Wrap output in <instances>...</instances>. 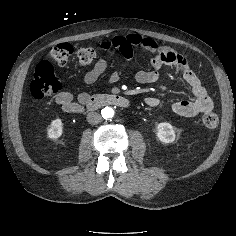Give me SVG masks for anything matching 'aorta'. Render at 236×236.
<instances>
[{"label":"aorta","instance_id":"762f6f07","mask_svg":"<svg viewBox=\"0 0 236 236\" xmlns=\"http://www.w3.org/2000/svg\"><path fill=\"white\" fill-rule=\"evenodd\" d=\"M101 114L104 119H109L114 116V110L111 107H105L102 109Z\"/></svg>","mask_w":236,"mask_h":236}]
</instances>
